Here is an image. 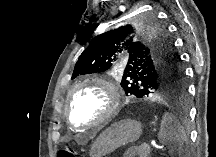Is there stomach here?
<instances>
[{
    "label": "stomach",
    "mask_w": 216,
    "mask_h": 157,
    "mask_svg": "<svg viewBox=\"0 0 216 157\" xmlns=\"http://www.w3.org/2000/svg\"><path fill=\"white\" fill-rule=\"evenodd\" d=\"M142 133L140 122L125 119L113 123L100 133L91 146L92 157H104L116 149L137 140Z\"/></svg>",
    "instance_id": "obj_1"
}]
</instances>
